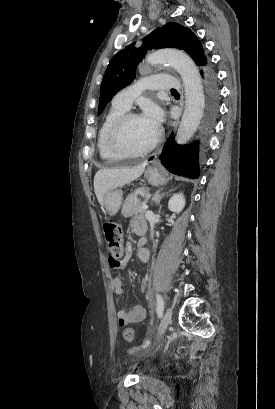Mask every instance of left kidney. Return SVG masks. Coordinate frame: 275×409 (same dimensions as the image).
Wrapping results in <instances>:
<instances>
[{"mask_svg":"<svg viewBox=\"0 0 275 409\" xmlns=\"http://www.w3.org/2000/svg\"><path fill=\"white\" fill-rule=\"evenodd\" d=\"M185 207V198L182 192H176L171 196L168 202V209L172 211V213H181L182 209Z\"/></svg>","mask_w":275,"mask_h":409,"instance_id":"1","label":"left kidney"}]
</instances>
